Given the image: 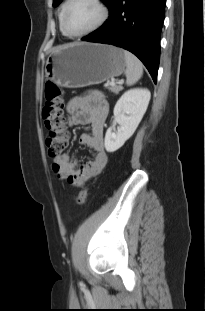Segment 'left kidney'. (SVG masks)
I'll use <instances>...</instances> for the list:
<instances>
[{
    "instance_id": "obj_1",
    "label": "left kidney",
    "mask_w": 205,
    "mask_h": 311,
    "mask_svg": "<svg viewBox=\"0 0 205 311\" xmlns=\"http://www.w3.org/2000/svg\"><path fill=\"white\" fill-rule=\"evenodd\" d=\"M151 98L148 89H131L126 91L114 107L113 125L105 135L107 152H114L134 134L145 114ZM118 124L117 130L115 125Z\"/></svg>"
}]
</instances>
